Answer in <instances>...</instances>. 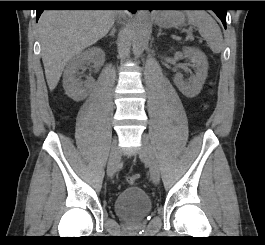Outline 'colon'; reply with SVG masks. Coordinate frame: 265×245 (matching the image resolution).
Here are the masks:
<instances>
[{
  "instance_id": "1",
  "label": "colon",
  "mask_w": 265,
  "mask_h": 245,
  "mask_svg": "<svg viewBox=\"0 0 265 245\" xmlns=\"http://www.w3.org/2000/svg\"><path fill=\"white\" fill-rule=\"evenodd\" d=\"M139 178H140V174H139V173H135V174H132V175H130V176L128 177V181H129L130 183H134V182L138 181Z\"/></svg>"
}]
</instances>
